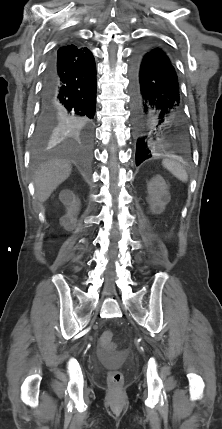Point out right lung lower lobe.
<instances>
[{
    "label": "right lung lower lobe",
    "instance_id": "right-lung-lower-lobe-1",
    "mask_svg": "<svg viewBox=\"0 0 222 429\" xmlns=\"http://www.w3.org/2000/svg\"><path fill=\"white\" fill-rule=\"evenodd\" d=\"M95 108L96 66L91 52L74 45L60 47L45 70L37 128H61L88 135Z\"/></svg>",
    "mask_w": 222,
    "mask_h": 429
}]
</instances>
